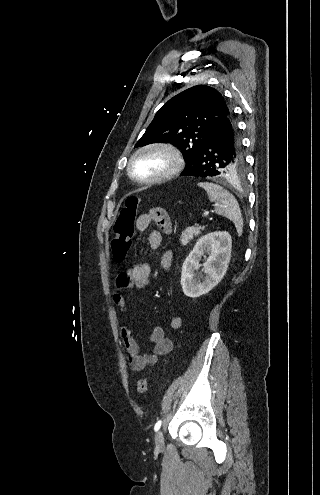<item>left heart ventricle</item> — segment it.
Masks as SVG:
<instances>
[{
	"instance_id": "left-heart-ventricle-1",
	"label": "left heart ventricle",
	"mask_w": 320,
	"mask_h": 495,
	"mask_svg": "<svg viewBox=\"0 0 320 495\" xmlns=\"http://www.w3.org/2000/svg\"><path fill=\"white\" fill-rule=\"evenodd\" d=\"M170 164L169 158L159 152L140 155L133 164V172L137 177L150 178L165 171Z\"/></svg>"
}]
</instances>
